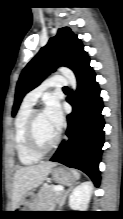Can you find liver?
Instances as JSON below:
<instances>
[{
    "label": "liver",
    "instance_id": "1",
    "mask_svg": "<svg viewBox=\"0 0 123 219\" xmlns=\"http://www.w3.org/2000/svg\"><path fill=\"white\" fill-rule=\"evenodd\" d=\"M56 166L54 162H45L16 170L13 178L11 209H16L27 194L39 187L47 178L51 169Z\"/></svg>",
    "mask_w": 123,
    "mask_h": 219
}]
</instances>
